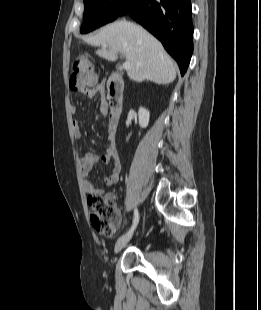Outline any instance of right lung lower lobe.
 <instances>
[{"label":"right lung lower lobe","mask_w":261,"mask_h":310,"mask_svg":"<svg viewBox=\"0 0 261 310\" xmlns=\"http://www.w3.org/2000/svg\"><path fill=\"white\" fill-rule=\"evenodd\" d=\"M126 14L161 41L184 75L193 51L190 0H129L118 16Z\"/></svg>","instance_id":"right-lung-lower-lobe-1"}]
</instances>
